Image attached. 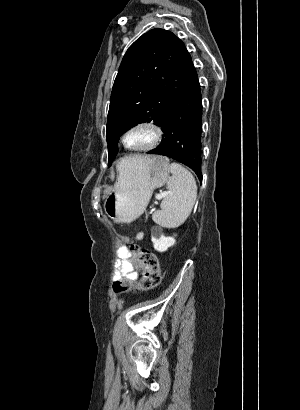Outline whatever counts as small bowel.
Returning a JSON list of instances; mask_svg holds the SVG:
<instances>
[{"mask_svg":"<svg viewBox=\"0 0 300 410\" xmlns=\"http://www.w3.org/2000/svg\"><path fill=\"white\" fill-rule=\"evenodd\" d=\"M143 234L140 233L138 238L142 237ZM118 260L116 263L117 273L116 279H129L132 282L136 281L139 278V274L136 270L137 265L133 262L131 252L125 248L121 247L118 252Z\"/></svg>","mask_w":300,"mask_h":410,"instance_id":"obj_1","label":"small bowel"}]
</instances>
